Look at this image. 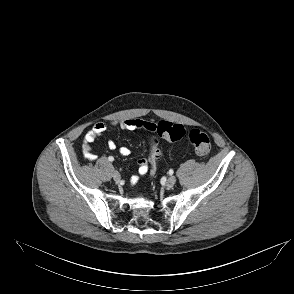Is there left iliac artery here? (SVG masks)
<instances>
[{"label": "left iliac artery", "mask_w": 294, "mask_h": 294, "mask_svg": "<svg viewBox=\"0 0 294 294\" xmlns=\"http://www.w3.org/2000/svg\"><path fill=\"white\" fill-rule=\"evenodd\" d=\"M172 174H173V169H168L167 176H172Z\"/></svg>", "instance_id": "1"}]
</instances>
